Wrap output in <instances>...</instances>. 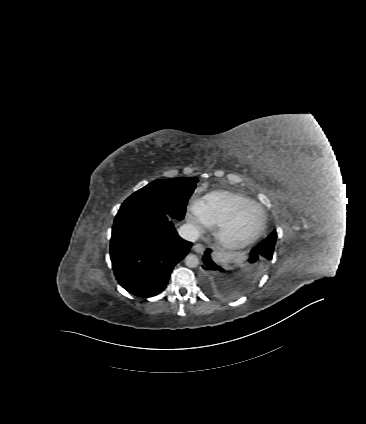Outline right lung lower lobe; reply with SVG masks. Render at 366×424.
Returning <instances> with one entry per match:
<instances>
[{
	"label": "right lung lower lobe",
	"instance_id": "right-lung-lower-lobe-1",
	"mask_svg": "<svg viewBox=\"0 0 366 424\" xmlns=\"http://www.w3.org/2000/svg\"><path fill=\"white\" fill-rule=\"evenodd\" d=\"M166 213L134 212L116 216L110 257L118 283L139 297L159 294L174 266L189 252Z\"/></svg>",
	"mask_w": 366,
	"mask_h": 424
}]
</instances>
